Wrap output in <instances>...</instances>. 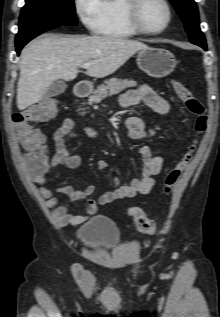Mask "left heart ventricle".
Returning <instances> with one entry per match:
<instances>
[{
  "label": "left heart ventricle",
  "mask_w": 220,
  "mask_h": 317,
  "mask_svg": "<svg viewBox=\"0 0 220 317\" xmlns=\"http://www.w3.org/2000/svg\"><path fill=\"white\" fill-rule=\"evenodd\" d=\"M141 18L149 29L162 28L167 20V11L160 0H146L141 10Z\"/></svg>",
  "instance_id": "obj_1"
}]
</instances>
